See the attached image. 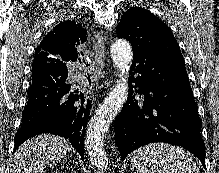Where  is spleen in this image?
I'll list each match as a JSON object with an SVG mask.
<instances>
[{
    "label": "spleen",
    "mask_w": 219,
    "mask_h": 173,
    "mask_svg": "<svg viewBox=\"0 0 219 173\" xmlns=\"http://www.w3.org/2000/svg\"><path fill=\"white\" fill-rule=\"evenodd\" d=\"M131 165L137 173H199L185 150L165 143L139 148L132 156Z\"/></svg>",
    "instance_id": "spleen-1"
}]
</instances>
